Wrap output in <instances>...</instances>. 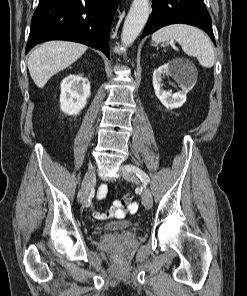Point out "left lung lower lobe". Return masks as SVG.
<instances>
[{"label": "left lung lower lobe", "mask_w": 247, "mask_h": 296, "mask_svg": "<svg viewBox=\"0 0 247 296\" xmlns=\"http://www.w3.org/2000/svg\"><path fill=\"white\" fill-rule=\"evenodd\" d=\"M183 23L204 30L216 46L204 0H152V12L141 39L166 25Z\"/></svg>", "instance_id": "0a47b994"}]
</instances>
